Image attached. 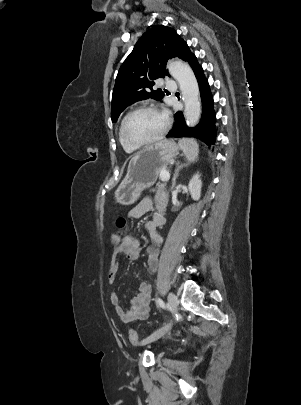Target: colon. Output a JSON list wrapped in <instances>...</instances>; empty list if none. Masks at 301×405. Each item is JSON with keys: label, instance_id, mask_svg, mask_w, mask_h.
Listing matches in <instances>:
<instances>
[{"label": "colon", "instance_id": "obj_1", "mask_svg": "<svg viewBox=\"0 0 301 405\" xmlns=\"http://www.w3.org/2000/svg\"><path fill=\"white\" fill-rule=\"evenodd\" d=\"M116 224H117L118 228H124L126 226V220L123 217H120L117 219ZM121 241H122V238L119 236L118 233L111 234V242L114 247H116V248L119 247L121 244L120 243ZM128 336L133 345L137 346L140 344L141 340L133 329H129Z\"/></svg>", "mask_w": 301, "mask_h": 405}]
</instances>
